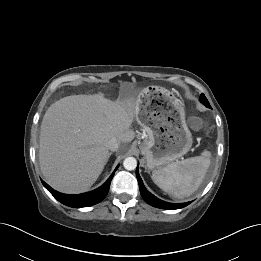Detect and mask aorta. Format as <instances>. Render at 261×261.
Wrapping results in <instances>:
<instances>
[{
    "label": "aorta",
    "instance_id": "762f6f07",
    "mask_svg": "<svg viewBox=\"0 0 261 261\" xmlns=\"http://www.w3.org/2000/svg\"><path fill=\"white\" fill-rule=\"evenodd\" d=\"M123 166L126 170H134L137 167V160L134 157H127L123 161Z\"/></svg>",
    "mask_w": 261,
    "mask_h": 261
}]
</instances>
